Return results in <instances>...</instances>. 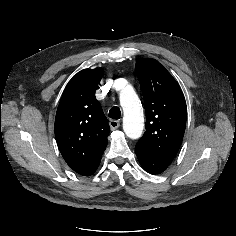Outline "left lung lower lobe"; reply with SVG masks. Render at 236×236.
Listing matches in <instances>:
<instances>
[{"instance_id": "0a47b994", "label": "left lung lower lobe", "mask_w": 236, "mask_h": 236, "mask_svg": "<svg viewBox=\"0 0 236 236\" xmlns=\"http://www.w3.org/2000/svg\"><path fill=\"white\" fill-rule=\"evenodd\" d=\"M135 151H136V155H137V158H138L141 166L147 172H149L151 174H161L170 165V162L156 158V157L149 155L141 150L135 149Z\"/></svg>"}]
</instances>
